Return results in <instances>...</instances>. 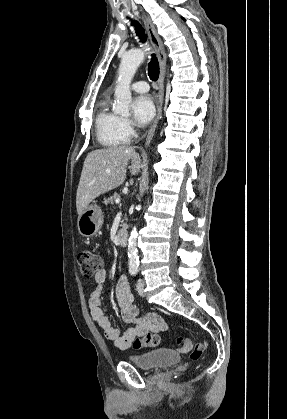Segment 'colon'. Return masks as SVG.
Here are the masks:
<instances>
[{
  "mask_svg": "<svg viewBox=\"0 0 287 419\" xmlns=\"http://www.w3.org/2000/svg\"><path fill=\"white\" fill-rule=\"evenodd\" d=\"M78 262L82 274L86 277H91L102 269L100 256L90 250L81 251L78 255ZM159 343L160 339L157 335L148 333L143 337L135 339L132 346L135 349H140L144 346L157 347ZM176 347L179 352L189 354L192 360L201 358L204 351L202 344L193 343L191 339L186 337H178L176 340Z\"/></svg>",
  "mask_w": 287,
  "mask_h": 419,
  "instance_id": "5ec220e1",
  "label": "colon"
}]
</instances>
